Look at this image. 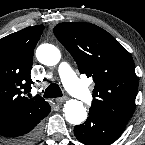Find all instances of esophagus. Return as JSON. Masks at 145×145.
Masks as SVG:
<instances>
[{"mask_svg":"<svg viewBox=\"0 0 145 145\" xmlns=\"http://www.w3.org/2000/svg\"><path fill=\"white\" fill-rule=\"evenodd\" d=\"M67 100V97H61V98H57L56 99V102L57 103H63V102H65Z\"/></svg>","mask_w":145,"mask_h":145,"instance_id":"1","label":"esophagus"}]
</instances>
